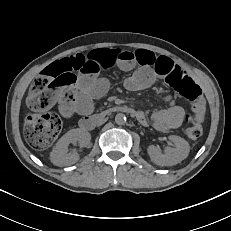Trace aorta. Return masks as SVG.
Here are the masks:
<instances>
[{
    "instance_id": "1",
    "label": "aorta",
    "mask_w": 231,
    "mask_h": 231,
    "mask_svg": "<svg viewBox=\"0 0 231 231\" xmlns=\"http://www.w3.org/2000/svg\"><path fill=\"white\" fill-rule=\"evenodd\" d=\"M115 122H116V124H118V125H123V124H125V122H126V116H125V114H123V113H118V114L115 116Z\"/></svg>"
}]
</instances>
